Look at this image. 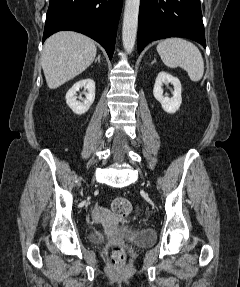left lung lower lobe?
Instances as JSON below:
<instances>
[{"label": "left lung lower lobe", "instance_id": "1", "mask_svg": "<svg viewBox=\"0 0 240 287\" xmlns=\"http://www.w3.org/2000/svg\"><path fill=\"white\" fill-rule=\"evenodd\" d=\"M168 37L190 38L206 47L200 0H140L138 51Z\"/></svg>", "mask_w": 240, "mask_h": 287}]
</instances>
